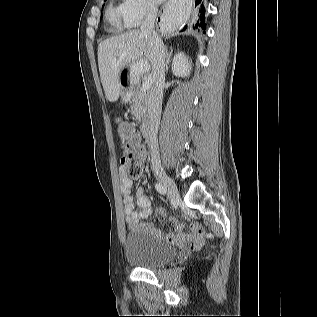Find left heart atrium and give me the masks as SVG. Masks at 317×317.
<instances>
[{
    "label": "left heart atrium",
    "instance_id": "left-heart-atrium-1",
    "mask_svg": "<svg viewBox=\"0 0 317 317\" xmlns=\"http://www.w3.org/2000/svg\"><path fill=\"white\" fill-rule=\"evenodd\" d=\"M163 0H154V2H156V3H160V2H162Z\"/></svg>",
    "mask_w": 317,
    "mask_h": 317
}]
</instances>
